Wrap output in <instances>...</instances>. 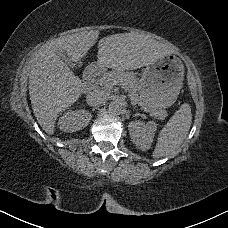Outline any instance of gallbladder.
Returning a JSON list of instances; mask_svg holds the SVG:
<instances>
[{"mask_svg":"<svg viewBox=\"0 0 228 228\" xmlns=\"http://www.w3.org/2000/svg\"><path fill=\"white\" fill-rule=\"evenodd\" d=\"M56 54L60 55L66 61V63H69V59L64 55L63 49L61 48L57 49Z\"/></svg>","mask_w":228,"mask_h":228,"instance_id":"bac80fb5","label":"gallbladder"}]
</instances>
